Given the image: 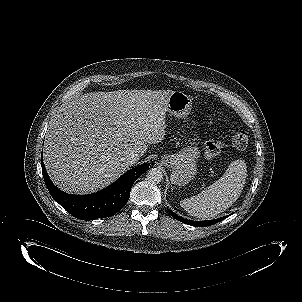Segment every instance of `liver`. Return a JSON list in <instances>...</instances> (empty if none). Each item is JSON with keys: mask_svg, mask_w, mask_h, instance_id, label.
Returning <instances> with one entry per match:
<instances>
[{"mask_svg": "<svg viewBox=\"0 0 302 302\" xmlns=\"http://www.w3.org/2000/svg\"><path fill=\"white\" fill-rule=\"evenodd\" d=\"M173 91L90 92L63 105L51 120L44 164L54 184L73 194L96 192L118 179L149 144L165 137L166 102Z\"/></svg>", "mask_w": 302, "mask_h": 302, "instance_id": "liver-1", "label": "liver"}]
</instances>
